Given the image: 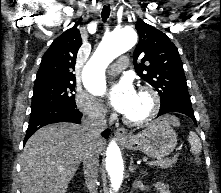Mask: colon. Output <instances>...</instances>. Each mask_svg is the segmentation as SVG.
<instances>
[{
	"label": "colon",
	"mask_w": 221,
	"mask_h": 193,
	"mask_svg": "<svg viewBox=\"0 0 221 193\" xmlns=\"http://www.w3.org/2000/svg\"><path fill=\"white\" fill-rule=\"evenodd\" d=\"M195 163H196L197 165H199V161H198L197 159L195 160Z\"/></svg>",
	"instance_id": "5ec220e1"
}]
</instances>
